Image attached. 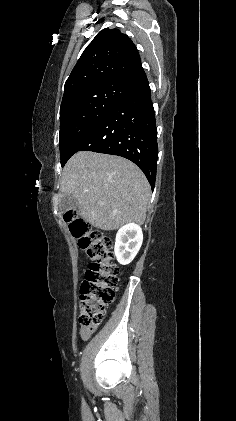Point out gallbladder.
<instances>
[{
	"label": "gallbladder",
	"instance_id": "bac80fb5",
	"mask_svg": "<svg viewBox=\"0 0 236 421\" xmlns=\"http://www.w3.org/2000/svg\"><path fill=\"white\" fill-rule=\"evenodd\" d=\"M79 204L78 200L74 198V196H63L61 200H59V208L61 213H68V211H77Z\"/></svg>",
	"mask_w": 236,
	"mask_h": 421
}]
</instances>
